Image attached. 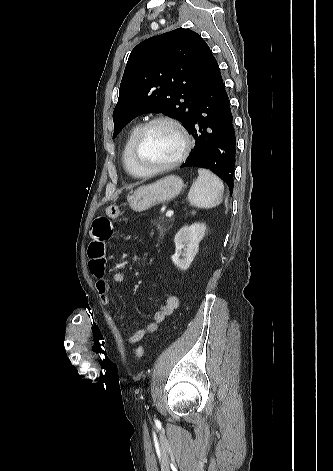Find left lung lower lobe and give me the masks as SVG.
Instances as JSON below:
<instances>
[{
    "instance_id": "0a47b994",
    "label": "left lung lower lobe",
    "mask_w": 333,
    "mask_h": 471,
    "mask_svg": "<svg viewBox=\"0 0 333 471\" xmlns=\"http://www.w3.org/2000/svg\"><path fill=\"white\" fill-rule=\"evenodd\" d=\"M187 130L195 139L193 152L181 167L212 170L233 190L236 136L225 86L216 62L202 88Z\"/></svg>"
}]
</instances>
